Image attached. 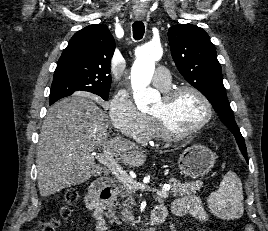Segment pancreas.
<instances>
[{
	"instance_id": "pancreas-1",
	"label": "pancreas",
	"mask_w": 268,
	"mask_h": 231,
	"mask_svg": "<svg viewBox=\"0 0 268 231\" xmlns=\"http://www.w3.org/2000/svg\"><path fill=\"white\" fill-rule=\"evenodd\" d=\"M171 186V193L173 196H184L191 195L200 191L202 187L201 182H185L171 178L169 180ZM133 204V198L131 195V190L125 185L121 184L116 186L112 190V196L109 201L106 203V217L109 219L110 223L116 222L119 223V218L122 221H125L128 217V214L131 213L128 208ZM119 211L121 215H119Z\"/></svg>"
}]
</instances>
